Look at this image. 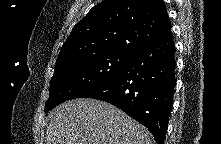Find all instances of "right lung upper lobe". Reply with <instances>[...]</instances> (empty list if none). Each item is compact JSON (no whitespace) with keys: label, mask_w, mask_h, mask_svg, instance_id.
Segmentation results:
<instances>
[{"label":"right lung upper lobe","mask_w":221,"mask_h":144,"mask_svg":"<svg viewBox=\"0 0 221 144\" xmlns=\"http://www.w3.org/2000/svg\"><path fill=\"white\" fill-rule=\"evenodd\" d=\"M170 33L162 0H104L73 27L55 68L108 51L134 55Z\"/></svg>","instance_id":"1"}]
</instances>
